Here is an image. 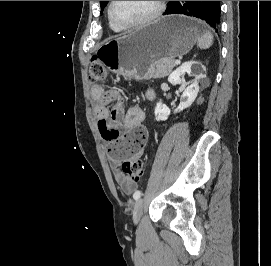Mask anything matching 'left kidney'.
Returning <instances> with one entry per match:
<instances>
[{
  "label": "left kidney",
  "mask_w": 271,
  "mask_h": 266,
  "mask_svg": "<svg viewBox=\"0 0 271 266\" xmlns=\"http://www.w3.org/2000/svg\"><path fill=\"white\" fill-rule=\"evenodd\" d=\"M206 68L199 62L189 61L182 64L179 68H177L174 72L170 74L168 77V82L172 85L181 84L182 80L181 77L188 73L189 75L195 76L194 81L187 86L180 98L179 106L174 110V113L181 112L182 110L186 109L187 107L191 106L192 103L195 101L198 92H199V80L206 77L204 72ZM170 109L162 103H158L155 107V118L157 121H165L168 119L170 115Z\"/></svg>",
  "instance_id": "left-kidney-1"
}]
</instances>
